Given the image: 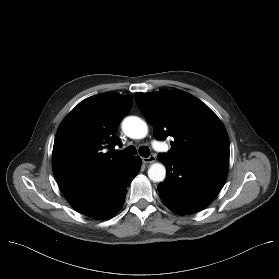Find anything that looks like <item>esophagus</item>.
I'll return each mask as SVG.
<instances>
[{
	"label": "esophagus",
	"mask_w": 279,
	"mask_h": 279,
	"mask_svg": "<svg viewBox=\"0 0 279 279\" xmlns=\"http://www.w3.org/2000/svg\"><path fill=\"white\" fill-rule=\"evenodd\" d=\"M142 161L145 164H151V163H154L156 161V157L154 155H151L149 157L142 158Z\"/></svg>",
	"instance_id": "esophagus-1"
}]
</instances>
